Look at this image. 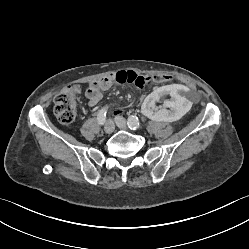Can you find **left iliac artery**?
Wrapping results in <instances>:
<instances>
[{"instance_id":"1","label":"left iliac artery","mask_w":249,"mask_h":249,"mask_svg":"<svg viewBox=\"0 0 249 249\" xmlns=\"http://www.w3.org/2000/svg\"><path fill=\"white\" fill-rule=\"evenodd\" d=\"M128 127L132 130H136L140 127V123L136 116H130L127 121Z\"/></svg>"}]
</instances>
